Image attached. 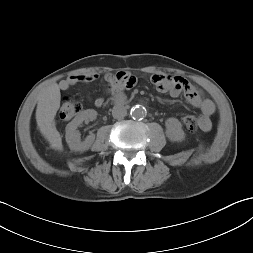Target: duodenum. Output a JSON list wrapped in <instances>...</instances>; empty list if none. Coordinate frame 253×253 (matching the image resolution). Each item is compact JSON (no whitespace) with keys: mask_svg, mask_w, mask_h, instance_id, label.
<instances>
[{"mask_svg":"<svg viewBox=\"0 0 253 253\" xmlns=\"http://www.w3.org/2000/svg\"><path fill=\"white\" fill-rule=\"evenodd\" d=\"M113 101L117 104H122V103H125L127 99L123 93H121L120 91H117L113 94Z\"/></svg>","mask_w":253,"mask_h":253,"instance_id":"1","label":"duodenum"}]
</instances>
